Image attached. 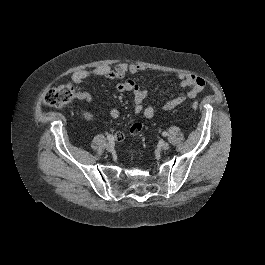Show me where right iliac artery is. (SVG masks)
Listing matches in <instances>:
<instances>
[{
	"mask_svg": "<svg viewBox=\"0 0 265 265\" xmlns=\"http://www.w3.org/2000/svg\"><path fill=\"white\" fill-rule=\"evenodd\" d=\"M107 140H108L109 142H112V141L114 140V136H113V135H108V136H107Z\"/></svg>",
	"mask_w": 265,
	"mask_h": 265,
	"instance_id": "obj_1",
	"label": "right iliac artery"
}]
</instances>
